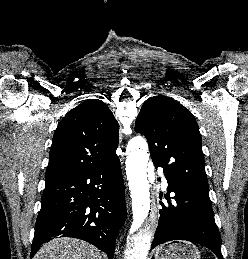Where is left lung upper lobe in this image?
Wrapping results in <instances>:
<instances>
[{
	"label": "left lung upper lobe",
	"instance_id": "1",
	"mask_svg": "<svg viewBox=\"0 0 248 259\" xmlns=\"http://www.w3.org/2000/svg\"><path fill=\"white\" fill-rule=\"evenodd\" d=\"M135 131L145 135L154 165L183 188L209 194L201 135L191 112L165 96L147 99Z\"/></svg>",
	"mask_w": 248,
	"mask_h": 259
}]
</instances>
